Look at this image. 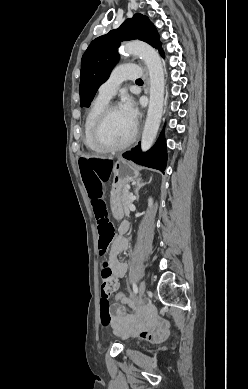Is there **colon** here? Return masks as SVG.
Returning <instances> with one entry per match:
<instances>
[{"instance_id": "5ec220e1", "label": "colon", "mask_w": 248, "mask_h": 389, "mask_svg": "<svg viewBox=\"0 0 248 389\" xmlns=\"http://www.w3.org/2000/svg\"><path fill=\"white\" fill-rule=\"evenodd\" d=\"M80 167L84 185L87 189L93 212L97 219L99 232L98 251L101 256L105 255L113 237L114 226L107 217V209L103 196V182L109 181L112 171L111 157H80ZM118 288V280L113 274L110 264L105 261L101 268V300H100V322L103 327H108L112 322L110 295ZM113 302L118 304L126 301L129 296L119 289L114 293Z\"/></svg>"}]
</instances>
